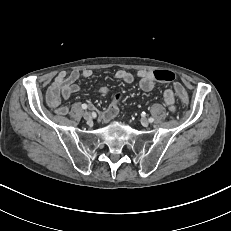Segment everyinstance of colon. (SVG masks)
Returning <instances> with one entry per match:
<instances>
[{"label": "colon", "mask_w": 231, "mask_h": 231, "mask_svg": "<svg viewBox=\"0 0 231 231\" xmlns=\"http://www.w3.org/2000/svg\"><path fill=\"white\" fill-rule=\"evenodd\" d=\"M154 79L158 82L168 83L172 82L175 79V74L169 70H157L153 72ZM174 92L179 96V99L182 101L183 105H190L191 104V96L188 95V92L184 90V88L176 83L174 85ZM117 100L121 99L120 95L116 96Z\"/></svg>", "instance_id": "5ec220e1"}]
</instances>
